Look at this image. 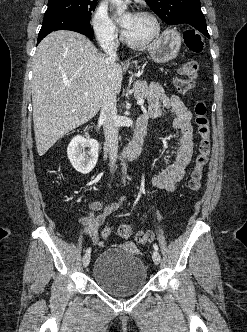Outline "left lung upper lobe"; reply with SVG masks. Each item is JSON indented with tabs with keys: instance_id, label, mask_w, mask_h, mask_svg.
Here are the masks:
<instances>
[{
	"instance_id": "left-lung-upper-lobe-1",
	"label": "left lung upper lobe",
	"mask_w": 247,
	"mask_h": 332,
	"mask_svg": "<svg viewBox=\"0 0 247 332\" xmlns=\"http://www.w3.org/2000/svg\"><path fill=\"white\" fill-rule=\"evenodd\" d=\"M149 7L166 23L186 24L196 29L206 23L200 0H145Z\"/></svg>"
}]
</instances>
